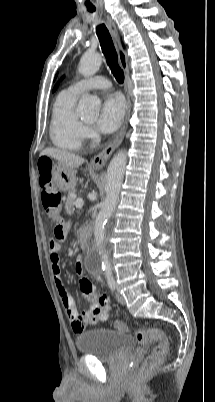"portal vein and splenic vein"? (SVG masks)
Here are the masks:
<instances>
[{"label": "portal vein and splenic vein", "instance_id": "portal-vein-and-splenic-vein-1", "mask_svg": "<svg viewBox=\"0 0 215 402\" xmlns=\"http://www.w3.org/2000/svg\"><path fill=\"white\" fill-rule=\"evenodd\" d=\"M82 206H83V200H82L81 198H78V199L75 201V207H76V208H82Z\"/></svg>", "mask_w": 215, "mask_h": 402}]
</instances>
